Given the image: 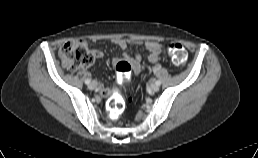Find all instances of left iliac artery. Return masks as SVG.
<instances>
[{
	"mask_svg": "<svg viewBox=\"0 0 258 158\" xmlns=\"http://www.w3.org/2000/svg\"><path fill=\"white\" fill-rule=\"evenodd\" d=\"M156 84H157V85H160V84H161V82H160L159 80H157V81H156Z\"/></svg>",
	"mask_w": 258,
	"mask_h": 158,
	"instance_id": "1",
	"label": "left iliac artery"
}]
</instances>
